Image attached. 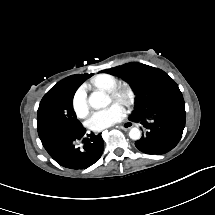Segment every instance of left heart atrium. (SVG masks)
<instances>
[{
  "label": "left heart atrium",
  "mask_w": 215,
  "mask_h": 215,
  "mask_svg": "<svg viewBox=\"0 0 215 215\" xmlns=\"http://www.w3.org/2000/svg\"><path fill=\"white\" fill-rule=\"evenodd\" d=\"M125 111L123 107L116 105L102 109L98 112L90 114L88 121L91 127L98 128L109 121L119 120L123 118Z\"/></svg>",
  "instance_id": "1"
}]
</instances>
